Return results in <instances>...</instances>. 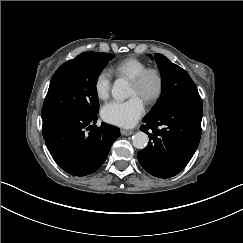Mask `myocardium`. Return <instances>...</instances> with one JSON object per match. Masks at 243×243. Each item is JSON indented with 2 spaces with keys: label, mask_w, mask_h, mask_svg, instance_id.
<instances>
[{
  "label": "myocardium",
  "mask_w": 243,
  "mask_h": 243,
  "mask_svg": "<svg viewBox=\"0 0 243 243\" xmlns=\"http://www.w3.org/2000/svg\"><path fill=\"white\" fill-rule=\"evenodd\" d=\"M151 74H155L158 78V89L154 95L145 98L144 101L150 105L158 102L165 93L166 78L162 69L157 66H146L138 75L131 79L133 85L141 87Z\"/></svg>",
  "instance_id": "obj_1"
}]
</instances>
